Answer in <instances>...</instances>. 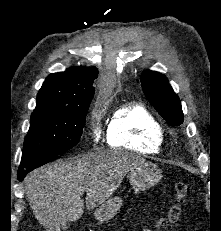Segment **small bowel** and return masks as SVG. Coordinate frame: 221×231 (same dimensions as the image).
<instances>
[{
    "instance_id": "c3829d8e",
    "label": "small bowel",
    "mask_w": 221,
    "mask_h": 231,
    "mask_svg": "<svg viewBox=\"0 0 221 231\" xmlns=\"http://www.w3.org/2000/svg\"><path fill=\"white\" fill-rule=\"evenodd\" d=\"M141 231H151L147 226H143Z\"/></svg>"
}]
</instances>
